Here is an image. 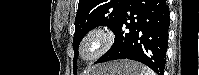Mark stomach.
<instances>
[{
    "label": "stomach",
    "mask_w": 199,
    "mask_h": 75,
    "mask_svg": "<svg viewBox=\"0 0 199 75\" xmlns=\"http://www.w3.org/2000/svg\"><path fill=\"white\" fill-rule=\"evenodd\" d=\"M142 66L133 61H114L96 65L89 75H141Z\"/></svg>",
    "instance_id": "1"
}]
</instances>
